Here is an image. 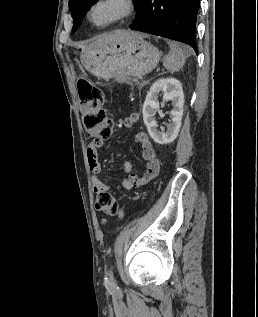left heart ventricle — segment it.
<instances>
[{
	"label": "left heart ventricle",
	"mask_w": 258,
	"mask_h": 317,
	"mask_svg": "<svg viewBox=\"0 0 258 317\" xmlns=\"http://www.w3.org/2000/svg\"><path fill=\"white\" fill-rule=\"evenodd\" d=\"M116 12L115 7L108 4L99 5L95 10V17L100 20L111 18Z\"/></svg>",
	"instance_id": "left-heart-ventricle-1"
}]
</instances>
